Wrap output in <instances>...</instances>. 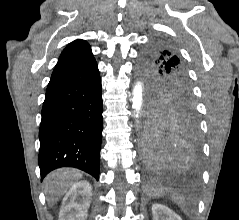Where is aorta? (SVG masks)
<instances>
[{"label":"aorta","mask_w":239,"mask_h":220,"mask_svg":"<svg viewBox=\"0 0 239 220\" xmlns=\"http://www.w3.org/2000/svg\"><path fill=\"white\" fill-rule=\"evenodd\" d=\"M143 105V84L137 82L132 92V108L135 111V116L139 117Z\"/></svg>","instance_id":"obj_1"}]
</instances>
